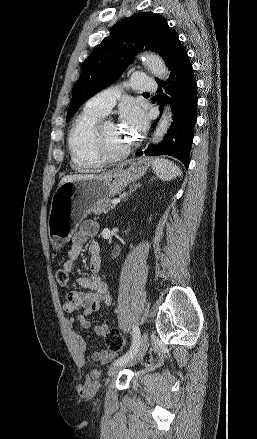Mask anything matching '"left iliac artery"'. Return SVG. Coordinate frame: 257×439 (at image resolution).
<instances>
[{"instance_id":"left-iliac-artery-1","label":"left iliac artery","mask_w":257,"mask_h":439,"mask_svg":"<svg viewBox=\"0 0 257 439\" xmlns=\"http://www.w3.org/2000/svg\"><path fill=\"white\" fill-rule=\"evenodd\" d=\"M132 335H133V340L129 351L126 354H124L121 358L115 360L113 363L114 365L127 361L136 351L140 341V330L137 326L133 327Z\"/></svg>"}]
</instances>
